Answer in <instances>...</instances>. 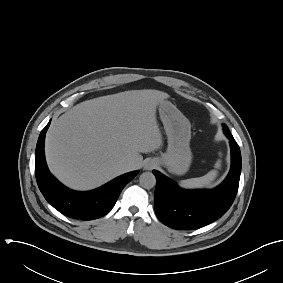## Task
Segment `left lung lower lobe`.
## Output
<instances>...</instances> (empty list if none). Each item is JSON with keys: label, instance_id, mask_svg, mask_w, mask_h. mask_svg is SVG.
<instances>
[{"label": "left lung lower lobe", "instance_id": "left-lung-lower-lobe-1", "mask_svg": "<svg viewBox=\"0 0 283 283\" xmlns=\"http://www.w3.org/2000/svg\"><path fill=\"white\" fill-rule=\"evenodd\" d=\"M231 148V169L226 179L212 190H183L153 170L157 179L154 205L158 219L177 230L198 229L224 215L238 191L241 153L231 133L225 134Z\"/></svg>", "mask_w": 283, "mask_h": 283}]
</instances>
